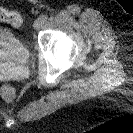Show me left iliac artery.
Masks as SVG:
<instances>
[{"label":"left iliac artery","mask_w":133,"mask_h":133,"mask_svg":"<svg viewBox=\"0 0 133 133\" xmlns=\"http://www.w3.org/2000/svg\"><path fill=\"white\" fill-rule=\"evenodd\" d=\"M40 18L42 19L43 22H46L48 19V16L44 14V15H41Z\"/></svg>","instance_id":"left-iliac-artery-1"}]
</instances>
